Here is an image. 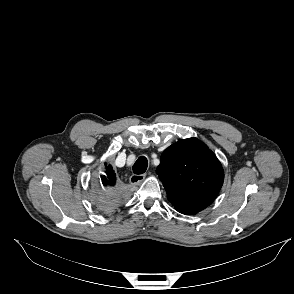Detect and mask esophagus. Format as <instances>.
I'll return each instance as SVG.
<instances>
[{"mask_svg":"<svg viewBox=\"0 0 294 294\" xmlns=\"http://www.w3.org/2000/svg\"><path fill=\"white\" fill-rule=\"evenodd\" d=\"M145 177H146V174H133V175H131L130 180H129L130 184L132 186H138L143 182Z\"/></svg>","mask_w":294,"mask_h":294,"instance_id":"esophagus-1","label":"esophagus"}]
</instances>
